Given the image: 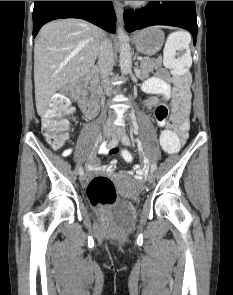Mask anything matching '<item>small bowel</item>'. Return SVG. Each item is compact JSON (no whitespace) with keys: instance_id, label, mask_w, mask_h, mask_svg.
Returning <instances> with one entry per match:
<instances>
[{"instance_id":"c3829d8e","label":"small bowel","mask_w":233,"mask_h":295,"mask_svg":"<svg viewBox=\"0 0 233 295\" xmlns=\"http://www.w3.org/2000/svg\"><path fill=\"white\" fill-rule=\"evenodd\" d=\"M144 92L154 95L145 102V106L149 109H154L157 124L160 127L166 126L175 130L181 142H184L188 136L189 128V114L191 106L190 91L176 94L172 89L167 74L164 70H159L154 77L149 78L143 85ZM85 113V112H84ZM170 113L169 121L168 116ZM85 113V117H87ZM108 153H116L115 147L106 148ZM72 149H66L63 152L64 156H69ZM88 169L91 171H101L107 173H114L117 169V161L111 160L106 165H101L96 157L92 156L89 160ZM144 175L143 168L138 167L135 171V178L142 179Z\"/></svg>"}]
</instances>
